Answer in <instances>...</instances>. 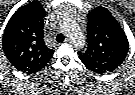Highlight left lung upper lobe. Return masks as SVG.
<instances>
[{
	"instance_id": "left-lung-upper-lobe-1",
	"label": "left lung upper lobe",
	"mask_w": 135,
	"mask_h": 95,
	"mask_svg": "<svg viewBox=\"0 0 135 95\" xmlns=\"http://www.w3.org/2000/svg\"><path fill=\"white\" fill-rule=\"evenodd\" d=\"M128 39L117 21L104 9L88 16L87 46L79 52L81 61L96 73L113 71L128 53Z\"/></svg>"
}]
</instances>
